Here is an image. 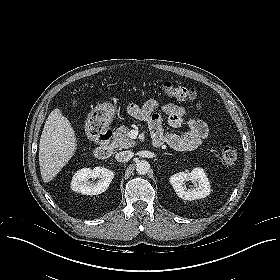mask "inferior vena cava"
I'll list each match as a JSON object with an SVG mask.
<instances>
[{"label": "inferior vena cava", "mask_w": 280, "mask_h": 280, "mask_svg": "<svg viewBox=\"0 0 280 280\" xmlns=\"http://www.w3.org/2000/svg\"><path fill=\"white\" fill-rule=\"evenodd\" d=\"M133 156L134 153L132 151L127 150L117 153L115 158L118 162H128Z\"/></svg>", "instance_id": "1"}]
</instances>
